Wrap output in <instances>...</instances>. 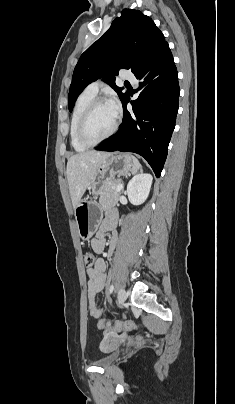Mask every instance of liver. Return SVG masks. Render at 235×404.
<instances>
[{
	"mask_svg": "<svg viewBox=\"0 0 235 404\" xmlns=\"http://www.w3.org/2000/svg\"><path fill=\"white\" fill-rule=\"evenodd\" d=\"M109 155L108 152L87 151L68 159L66 175L74 209L81 201L97 169Z\"/></svg>",
	"mask_w": 235,
	"mask_h": 404,
	"instance_id": "obj_1",
	"label": "liver"
}]
</instances>
